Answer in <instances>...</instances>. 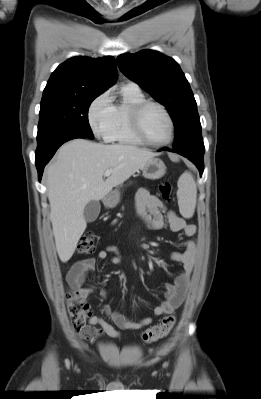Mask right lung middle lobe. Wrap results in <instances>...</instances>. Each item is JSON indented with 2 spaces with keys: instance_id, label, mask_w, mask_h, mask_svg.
Segmentation results:
<instances>
[{
  "instance_id": "obj_1",
  "label": "right lung middle lobe",
  "mask_w": 261,
  "mask_h": 399,
  "mask_svg": "<svg viewBox=\"0 0 261 399\" xmlns=\"http://www.w3.org/2000/svg\"><path fill=\"white\" fill-rule=\"evenodd\" d=\"M98 95L42 97L37 140L62 129H71L92 137L88 109Z\"/></svg>"
}]
</instances>
